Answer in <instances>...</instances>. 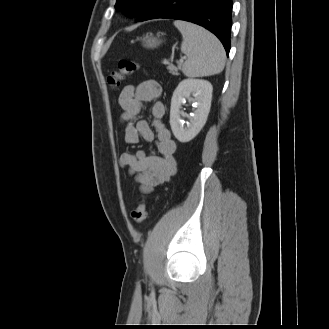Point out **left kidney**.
<instances>
[{"label": "left kidney", "mask_w": 329, "mask_h": 329, "mask_svg": "<svg viewBox=\"0 0 329 329\" xmlns=\"http://www.w3.org/2000/svg\"><path fill=\"white\" fill-rule=\"evenodd\" d=\"M212 91L211 83L203 79H184L178 84L171 99L170 125L180 142L191 141L205 125L211 107ZM185 99L195 102L194 116L186 126L180 118L181 104Z\"/></svg>", "instance_id": "5707ae66"}]
</instances>
